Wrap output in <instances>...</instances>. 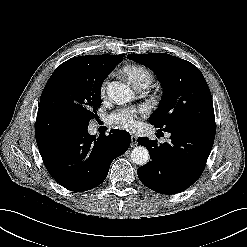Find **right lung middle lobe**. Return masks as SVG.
<instances>
[{"label":"right lung middle lobe","mask_w":247,"mask_h":247,"mask_svg":"<svg viewBox=\"0 0 247 247\" xmlns=\"http://www.w3.org/2000/svg\"><path fill=\"white\" fill-rule=\"evenodd\" d=\"M106 73L81 57L62 63L42 92L38 112L88 127L101 106L100 90Z\"/></svg>","instance_id":"obj_1"}]
</instances>
